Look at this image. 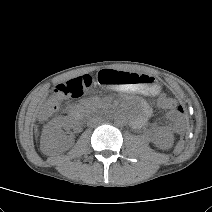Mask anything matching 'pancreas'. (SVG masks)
Returning a JSON list of instances; mask_svg holds the SVG:
<instances>
[{
  "mask_svg": "<svg viewBox=\"0 0 212 212\" xmlns=\"http://www.w3.org/2000/svg\"><path fill=\"white\" fill-rule=\"evenodd\" d=\"M98 99L91 100L87 105L89 106L93 101H97Z\"/></svg>",
  "mask_w": 212,
  "mask_h": 212,
  "instance_id": "1",
  "label": "pancreas"
}]
</instances>
